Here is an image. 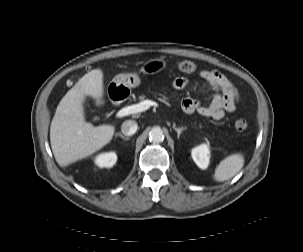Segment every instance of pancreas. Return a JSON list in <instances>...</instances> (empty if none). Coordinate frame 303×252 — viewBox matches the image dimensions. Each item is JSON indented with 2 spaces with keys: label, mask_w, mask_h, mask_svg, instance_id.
<instances>
[{
  "label": "pancreas",
  "mask_w": 303,
  "mask_h": 252,
  "mask_svg": "<svg viewBox=\"0 0 303 252\" xmlns=\"http://www.w3.org/2000/svg\"><path fill=\"white\" fill-rule=\"evenodd\" d=\"M139 100H140L141 102L144 101V100H145V96H144V95L139 96Z\"/></svg>",
  "instance_id": "obj_1"
}]
</instances>
